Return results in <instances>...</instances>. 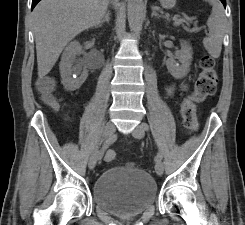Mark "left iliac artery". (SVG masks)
Here are the masks:
<instances>
[{"mask_svg":"<svg viewBox=\"0 0 245 225\" xmlns=\"http://www.w3.org/2000/svg\"><path fill=\"white\" fill-rule=\"evenodd\" d=\"M142 127L144 130L148 131L149 130V126L147 123H142ZM156 161H161L162 160V155L160 152L157 153L156 157H155Z\"/></svg>","mask_w":245,"mask_h":225,"instance_id":"left-iliac-artery-1","label":"left iliac artery"}]
</instances>
